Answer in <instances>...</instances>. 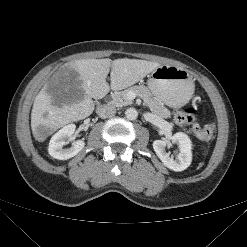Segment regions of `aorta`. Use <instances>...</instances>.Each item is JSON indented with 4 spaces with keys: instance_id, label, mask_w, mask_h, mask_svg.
Instances as JSON below:
<instances>
[{
    "instance_id": "762f6f07",
    "label": "aorta",
    "mask_w": 247,
    "mask_h": 247,
    "mask_svg": "<svg viewBox=\"0 0 247 247\" xmlns=\"http://www.w3.org/2000/svg\"><path fill=\"white\" fill-rule=\"evenodd\" d=\"M125 116L129 120H135L138 117V112L135 108H128L125 111Z\"/></svg>"
}]
</instances>
